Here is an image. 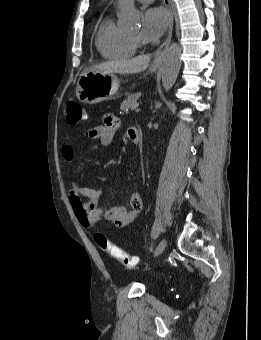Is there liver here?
<instances>
[{
  "mask_svg": "<svg viewBox=\"0 0 261 340\" xmlns=\"http://www.w3.org/2000/svg\"><path fill=\"white\" fill-rule=\"evenodd\" d=\"M149 62L150 56L143 55L128 60L104 62L94 65L90 70L106 73L133 74L146 70Z\"/></svg>",
  "mask_w": 261,
  "mask_h": 340,
  "instance_id": "obj_1",
  "label": "liver"
}]
</instances>
